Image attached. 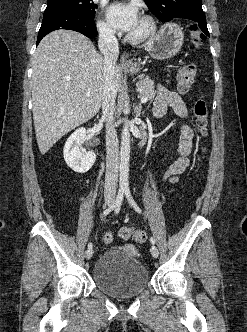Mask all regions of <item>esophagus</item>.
I'll use <instances>...</instances> for the list:
<instances>
[{"instance_id":"obj_1","label":"esophagus","mask_w":247,"mask_h":332,"mask_svg":"<svg viewBox=\"0 0 247 332\" xmlns=\"http://www.w3.org/2000/svg\"><path fill=\"white\" fill-rule=\"evenodd\" d=\"M120 64L122 67H128L133 65V61L131 59V55L127 52H124L120 59Z\"/></svg>"}]
</instances>
